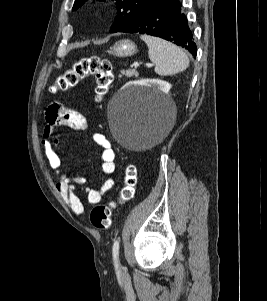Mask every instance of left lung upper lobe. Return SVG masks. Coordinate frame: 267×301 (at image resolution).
<instances>
[{
	"instance_id": "left-lung-upper-lobe-1",
	"label": "left lung upper lobe",
	"mask_w": 267,
	"mask_h": 301,
	"mask_svg": "<svg viewBox=\"0 0 267 301\" xmlns=\"http://www.w3.org/2000/svg\"><path fill=\"white\" fill-rule=\"evenodd\" d=\"M87 0H75L73 10H77ZM102 1V0H99ZM118 10V15L110 29L111 33L117 32L121 27L133 21L154 0H112Z\"/></svg>"
}]
</instances>
